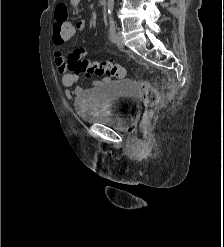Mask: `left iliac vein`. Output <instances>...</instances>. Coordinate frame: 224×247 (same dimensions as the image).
<instances>
[{
  "mask_svg": "<svg viewBox=\"0 0 224 247\" xmlns=\"http://www.w3.org/2000/svg\"><path fill=\"white\" fill-rule=\"evenodd\" d=\"M115 44H116L119 48H123V47H124L123 36H122L121 32H117V33H116Z\"/></svg>",
  "mask_w": 224,
  "mask_h": 247,
  "instance_id": "1",
  "label": "left iliac vein"
}]
</instances>
